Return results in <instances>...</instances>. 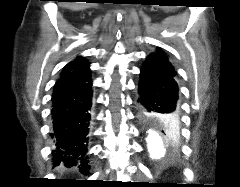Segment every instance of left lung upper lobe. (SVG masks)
Returning a JSON list of instances; mask_svg holds the SVG:
<instances>
[{
    "mask_svg": "<svg viewBox=\"0 0 240 187\" xmlns=\"http://www.w3.org/2000/svg\"><path fill=\"white\" fill-rule=\"evenodd\" d=\"M150 55L157 57L161 60L165 65H167L172 72H175L173 65L169 62L167 56L161 49H157L155 53H151ZM153 124L165 135V137L169 140L177 139L179 136V127H176L175 131H171L167 128L161 121H153Z\"/></svg>",
    "mask_w": 240,
    "mask_h": 187,
    "instance_id": "5c2ea615",
    "label": "left lung upper lobe"
}]
</instances>
